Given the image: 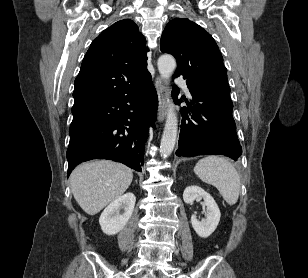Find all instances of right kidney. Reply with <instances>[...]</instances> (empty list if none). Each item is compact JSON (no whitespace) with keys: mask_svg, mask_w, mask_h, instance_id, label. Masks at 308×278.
<instances>
[{"mask_svg":"<svg viewBox=\"0 0 308 278\" xmlns=\"http://www.w3.org/2000/svg\"><path fill=\"white\" fill-rule=\"evenodd\" d=\"M136 198L133 193H126L111 202L102 212L99 223L102 231L107 235H115L128 223L134 210ZM124 213L120 214V209Z\"/></svg>","mask_w":308,"mask_h":278,"instance_id":"1","label":"right kidney"}]
</instances>
